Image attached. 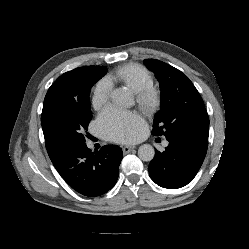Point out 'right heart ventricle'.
<instances>
[{
    "label": "right heart ventricle",
    "instance_id": "obj_1",
    "mask_svg": "<svg viewBox=\"0 0 249 249\" xmlns=\"http://www.w3.org/2000/svg\"><path fill=\"white\" fill-rule=\"evenodd\" d=\"M112 82H119L138 92L154 83L151 73L142 65L129 63L115 69L108 77Z\"/></svg>",
    "mask_w": 249,
    "mask_h": 249
}]
</instances>
